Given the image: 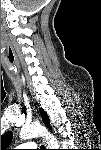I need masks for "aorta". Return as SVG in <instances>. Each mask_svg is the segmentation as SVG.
I'll list each match as a JSON object with an SVG mask.
<instances>
[{
	"label": "aorta",
	"mask_w": 101,
	"mask_h": 150,
	"mask_svg": "<svg viewBox=\"0 0 101 150\" xmlns=\"http://www.w3.org/2000/svg\"><path fill=\"white\" fill-rule=\"evenodd\" d=\"M42 136L47 141L48 147L51 149H57L58 141L57 139L50 134L45 127L39 124H30L26 125L21 129L20 138L23 140L30 139L33 137Z\"/></svg>",
	"instance_id": "1"
}]
</instances>
